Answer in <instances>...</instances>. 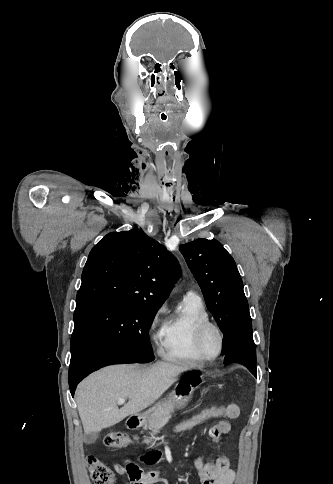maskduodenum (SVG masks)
I'll return each mask as SVG.
<instances>
[{
  "instance_id": "410a0bca",
  "label": "duodenum",
  "mask_w": 333,
  "mask_h": 484,
  "mask_svg": "<svg viewBox=\"0 0 333 484\" xmlns=\"http://www.w3.org/2000/svg\"><path fill=\"white\" fill-rule=\"evenodd\" d=\"M140 425V418L139 417H131L128 420V427L131 429H135Z\"/></svg>"
}]
</instances>
